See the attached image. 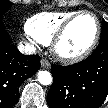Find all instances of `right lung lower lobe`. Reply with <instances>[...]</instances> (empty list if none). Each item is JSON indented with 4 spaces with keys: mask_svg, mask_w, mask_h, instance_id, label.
Masks as SVG:
<instances>
[{
    "mask_svg": "<svg viewBox=\"0 0 108 108\" xmlns=\"http://www.w3.org/2000/svg\"><path fill=\"white\" fill-rule=\"evenodd\" d=\"M39 68L38 55H23L10 44L0 18V108H11L17 103L20 85Z\"/></svg>",
    "mask_w": 108,
    "mask_h": 108,
    "instance_id": "98d812e1",
    "label": "right lung lower lobe"
}]
</instances>
